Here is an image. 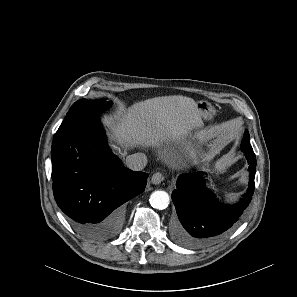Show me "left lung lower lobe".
<instances>
[{"mask_svg":"<svg viewBox=\"0 0 297 297\" xmlns=\"http://www.w3.org/2000/svg\"><path fill=\"white\" fill-rule=\"evenodd\" d=\"M249 164V187L235 205L218 204L205 187L204 172L185 173L178 177L172 193L179 221L172 228V239L185 247L210 245L241 220L254 192L256 157L253 151H242Z\"/></svg>","mask_w":297,"mask_h":297,"instance_id":"0a47b994","label":"left lung lower lobe"}]
</instances>
